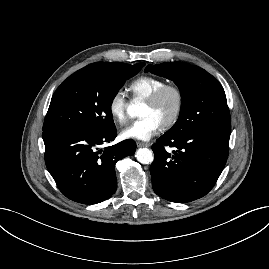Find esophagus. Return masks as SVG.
<instances>
[{"mask_svg":"<svg viewBox=\"0 0 269 269\" xmlns=\"http://www.w3.org/2000/svg\"><path fill=\"white\" fill-rule=\"evenodd\" d=\"M137 146H138V147H148L149 144H148V143H145V142H140V141H138V142H137Z\"/></svg>","mask_w":269,"mask_h":269,"instance_id":"1","label":"esophagus"}]
</instances>
